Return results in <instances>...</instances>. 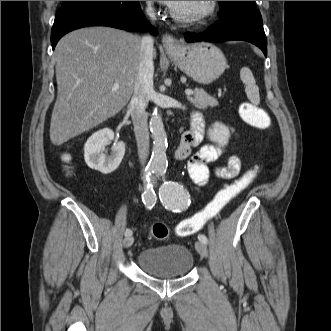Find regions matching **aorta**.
<instances>
[{
    "label": "aorta",
    "mask_w": 331,
    "mask_h": 331,
    "mask_svg": "<svg viewBox=\"0 0 331 331\" xmlns=\"http://www.w3.org/2000/svg\"><path fill=\"white\" fill-rule=\"evenodd\" d=\"M149 126L153 137V151L150 160V169L157 174H162L166 171L168 165L166 156L168 143L162 116L157 110L153 112Z\"/></svg>",
    "instance_id": "obj_1"
}]
</instances>
